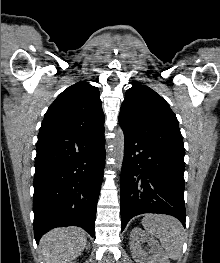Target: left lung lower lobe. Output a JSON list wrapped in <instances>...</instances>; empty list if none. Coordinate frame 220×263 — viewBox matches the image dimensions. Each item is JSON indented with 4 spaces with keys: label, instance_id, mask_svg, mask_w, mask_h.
<instances>
[{
    "label": "left lung lower lobe",
    "instance_id": "obj_1",
    "mask_svg": "<svg viewBox=\"0 0 220 263\" xmlns=\"http://www.w3.org/2000/svg\"><path fill=\"white\" fill-rule=\"evenodd\" d=\"M124 137L121 231L143 213L172 215L185 226L184 157L126 131Z\"/></svg>",
    "mask_w": 220,
    "mask_h": 263
}]
</instances>
